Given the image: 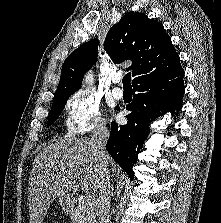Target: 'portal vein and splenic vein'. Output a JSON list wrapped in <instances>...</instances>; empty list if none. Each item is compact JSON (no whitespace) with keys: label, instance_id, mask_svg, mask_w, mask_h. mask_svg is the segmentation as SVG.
Returning <instances> with one entry per match:
<instances>
[{"label":"portal vein and splenic vein","instance_id":"portal-vein-and-splenic-vein-1","mask_svg":"<svg viewBox=\"0 0 221 223\" xmlns=\"http://www.w3.org/2000/svg\"><path fill=\"white\" fill-rule=\"evenodd\" d=\"M85 201L87 202V204L92 205L95 202V198L92 194L89 193L85 196Z\"/></svg>","mask_w":221,"mask_h":223}]
</instances>
